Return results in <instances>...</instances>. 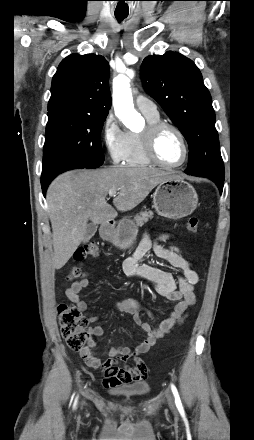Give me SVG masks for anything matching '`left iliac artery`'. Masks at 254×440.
Instances as JSON below:
<instances>
[{
  "instance_id": "left-iliac-artery-1",
  "label": "left iliac artery",
  "mask_w": 254,
  "mask_h": 440,
  "mask_svg": "<svg viewBox=\"0 0 254 440\" xmlns=\"http://www.w3.org/2000/svg\"><path fill=\"white\" fill-rule=\"evenodd\" d=\"M171 390H172L173 395L175 397V404H176L178 410L180 412H183L184 410H183V406H182V403H181V400H180V397H179V393H178V390H177V388L175 387L174 384H171Z\"/></svg>"
}]
</instances>
